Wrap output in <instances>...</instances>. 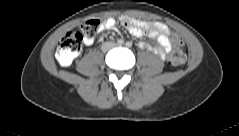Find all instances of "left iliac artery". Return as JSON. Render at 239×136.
<instances>
[{
    "mask_svg": "<svg viewBox=\"0 0 239 136\" xmlns=\"http://www.w3.org/2000/svg\"><path fill=\"white\" fill-rule=\"evenodd\" d=\"M126 46H127V47H131V46H132V43L128 41V42H126Z\"/></svg>",
    "mask_w": 239,
    "mask_h": 136,
    "instance_id": "obj_1",
    "label": "left iliac artery"
}]
</instances>
